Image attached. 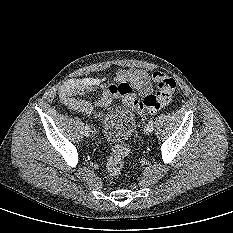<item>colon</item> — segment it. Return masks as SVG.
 Returning a JSON list of instances; mask_svg holds the SVG:
<instances>
[{"label": "colon", "instance_id": "obj_1", "mask_svg": "<svg viewBox=\"0 0 233 233\" xmlns=\"http://www.w3.org/2000/svg\"><path fill=\"white\" fill-rule=\"evenodd\" d=\"M153 79L157 87L156 92L145 96L142 100H138L129 87H121L124 100L131 105L139 115L157 112L171 100L174 93L176 83L172 78L162 72H155L153 74ZM128 153L129 147L124 142L117 143L113 146L106 163L107 172L111 177L117 178L120 175L124 165V158Z\"/></svg>", "mask_w": 233, "mask_h": 233}]
</instances>
